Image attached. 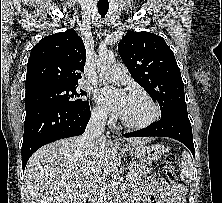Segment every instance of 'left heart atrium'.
I'll return each instance as SVG.
<instances>
[{
  "mask_svg": "<svg viewBox=\"0 0 222 203\" xmlns=\"http://www.w3.org/2000/svg\"><path fill=\"white\" fill-rule=\"evenodd\" d=\"M96 97L103 107L119 115L123 114L129 99V95L125 92L113 88L99 90Z\"/></svg>",
  "mask_w": 222,
  "mask_h": 203,
  "instance_id": "left-heart-atrium-1",
  "label": "left heart atrium"
}]
</instances>
